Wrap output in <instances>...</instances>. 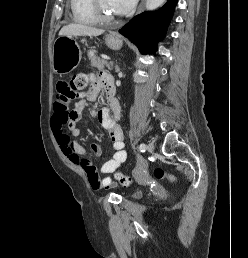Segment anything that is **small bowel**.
<instances>
[{
  "label": "small bowel",
  "instance_id": "obj_1",
  "mask_svg": "<svg viewBox=\"0 0 248 258\" xmlns=\"http://www.w3.org/2000/svg\"><path fill=\"white\" fill-rule=\"evenodd\" d=\"M106 81L112 83L111 77L109 75H102L97 84L81 94L73 109H70L72 96L68 84L60 82L57 87L51 119L52 130L63 153L85 173L91 189L95 192L114 187L115 183L110 174L124 163L127 158V153L124 149L123 131L118 124L120 105L113 98L109 100L108 109L89 112V115L97 118L107 131L114 150L113 156L104 162L100 168V173L107 175L106 177L100 179L98 171L93 164L97 157L101 155L102 146L99 143H93L91 144L92 153H88L81 144L73 140L74 137H78L80 134L77 123L82 117L86 102L97 99L100 87L103 86L106 89Z\"/></svg>",
  "mask_w": 248,
  "mask_h": 258
}]
</instances>
